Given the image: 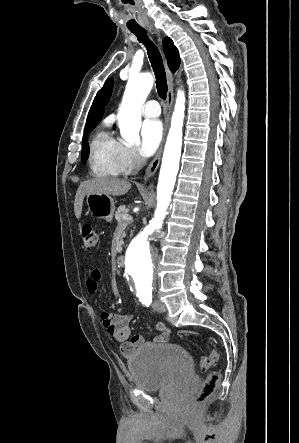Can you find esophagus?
<instances>
[{
  "mask_svg": "<svg viewBox=\"0 0 299 443\" xmlns=\"http://www.w3.org/2000/svg\"><path fill=\"white\" fill-rule=\"evenodd\" d=\"M150 31L152 30L151 28L149 29ZM166 72H167V79H168V93H167V99H166V108H165V129H164V136L166 134L168 125H169V119H170V114H171V110H172V105H173V99H174V92H173V77L171 72L169 71L168 67L166 66ZM164 142V139H163ZM163 142L161 143L157 154L155 156V158L151 161V163L149 164L148 168L146 169V173H145V179L153 176L160 164V160H161V155H162V149H163Z\"/></svg>",
  "mask_w": 299,
  "mask_h": 443,
  "instance_id": "esophagus-1",
  "label": "esophagus"
}]
</instances>
